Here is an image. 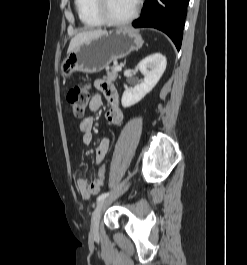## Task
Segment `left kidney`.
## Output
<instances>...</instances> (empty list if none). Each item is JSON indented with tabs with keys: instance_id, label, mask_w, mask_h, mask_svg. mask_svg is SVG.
I'll list each match as a JSON object with an SVG mask.
<instances>
[{
	"instance_id": "5707ae66",
	"label": "left kidney",
	"mask_w": 247,
	"mask_h": 265,
	"mask_svg": "<svg viewBox=\"0 0 247 265\" xmlns=\"http://www.w3.org/2000/svg\"><path fill=\"white\" fill-rule=\"evenodd\" d=\"M166 65V57L161 53H154L144 58L138 64V69L144 75V80L134 88L124 91L121 99L122 106L130 107L145 97L160 80Z\"/></svg>"
}]
</instances>
